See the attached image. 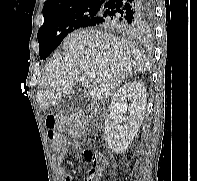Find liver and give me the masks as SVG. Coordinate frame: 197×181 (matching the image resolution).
I'll use <instances>...</instances> for the list:
<instances>
[{
    "label": "liver",
    "instance_id": "1",
    "mask_svg": "<svg viewBox=\"0 0 197 181\" xmlns=\"http://www.w3.org/2000/svg\"><path fill=\"white\" fill-rule=\"evenodd\" d=\"M62 47L67 52L51 57L37 92V103L45 109L56 105L78 82L89 89L93 99H107L128 75L149 67L132 43L101 31H75L64 39ZM86 71L98 73L92 84L83 77Z\"/></svg>",
    "mask_w": 197,
    "mask_h": 181
}]
</instances>
